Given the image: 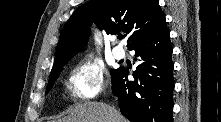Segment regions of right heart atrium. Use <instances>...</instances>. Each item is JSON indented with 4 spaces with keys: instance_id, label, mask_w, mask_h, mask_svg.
Masks as SVG:
<instances>
[{
    "instance_id": "1",
    "label": "right heart atrium",
    "mask_w": 221,
    "mask_h": 122,
    "mask_svg": "<svg viewBox=\"0 0 221 122\" xmlns=\"http://www.w3.org/2000/svg\"><path fill=\"white\" fill-rule=\"evenodd\" d=\"M105 87L104 69L92 60L79 62L69 76V88L76 100H89L98 96Z\"/></svg>"
}]
</instances>
